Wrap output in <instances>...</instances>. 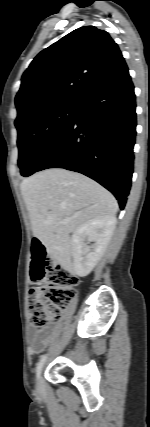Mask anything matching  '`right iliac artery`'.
<instances>
[{
    "mask_svg": "<svg viewBox=\"0 0 150 427\" xmlns=\"http://www.w3.org/2000/svg\"><path fill=\"white\" fill-rule=\"evenodd\" d=\"M46 358H47V355H43L42 358H41V360L37 364L36 373H37L38 377L40 376V373H41L42 367H43V365H44V363L46 361Z\"/></svg>",
    "mask_w": 150,
    "mask_h": 427,
    "instance_id": "1",
    "label": "right iliac artery"
}]
</instances>
